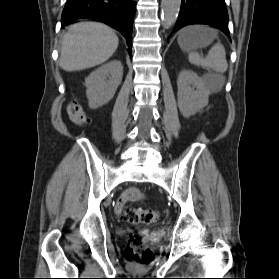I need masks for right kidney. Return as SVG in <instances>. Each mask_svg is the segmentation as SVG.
<instances>
[{
  "mask_svg": "<svg viewBox=\"0 0 279 279\" xmlns=\"http://www.w3.org/2000/svg\"><path fill=\"white\" fill-rule=\"evenodd\" d=\"M122 77L123 65L119 60L110 61L93 71L85 79L89 107L97 109L107 104L121 84Z\"/></svg>",
  "mask_w": 279,
  "mask_h": 279,
  "instance_id": "1",
  "label": "right kidney"
}]
</instances>
